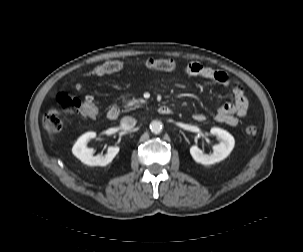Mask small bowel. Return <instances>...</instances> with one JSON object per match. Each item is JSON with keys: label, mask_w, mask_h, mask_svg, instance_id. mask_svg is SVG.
Returning <instances> with one entry per match:
<instances>
[{"label": "small bowel", "mask_w": 303, "mask_h": 252, "mask_svg": "<svg viewBox=\"0 0 303 252\" xmlns=\"http://www.w3.org/2000/svg\"><path fill=\"white\" fill-rule=\"evenodd\" d=\"M183 73L188 76L201 77L217 84L228 86L235 98V103H227L222 105L215 113L214 119L219 123H226L231 126H236L239 120L246 114V103L242 88L232 82L229 77L209 68L201 63H191L183 68ZM193 119L196 122H203L206 116L203 113H195Z\"/></svg>", "instance_id": "c3829d8e"}]
</instances>
